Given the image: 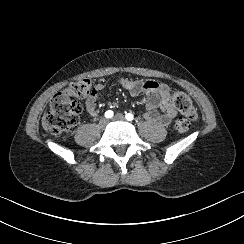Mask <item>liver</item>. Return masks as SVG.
I'll return each mask as SVG.
<instances>
[{"label": "liver", "instance_id": "obj_1", "mask_svg": "<svg viewBox=\"0 0 244 244\" xmlns=\"http://www.w3.org/2000/svg\"><path fill=\"white\" fill-rule=\"evenodd\" d=\"M46 117H45V115L42 117V126H43V128H44V130H48V128H47V124H46Z\"/></svg>", "mask_w": 244, "mask_h": 244}]
</instances>
